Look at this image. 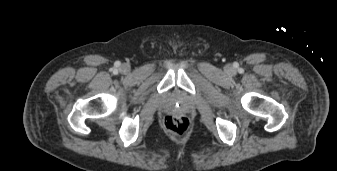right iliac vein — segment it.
Instances as JSON below:
<instances>
[{
    "label": "right iliac vein",
    "instance_id": "right-iliac-vein-1",
    "mask_svg": "<svg viewBox=\"0 0 337 171\" xmlns=\"http://www.w3.org/2000/svg\"><path fill=\"white\" fill-rule=\"evenodd\" d=\"M129 69H130L129 66L126 65V64H123V65H121V67H120V71L123 72V73L129 72Z\"/></svg>",
    "mask_w": 337,
    "mask_h": 171
}]
</instances>
